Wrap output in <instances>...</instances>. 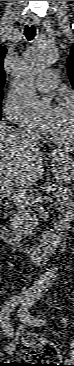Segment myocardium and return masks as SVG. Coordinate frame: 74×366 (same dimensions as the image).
Wrapping results in <instances>:
<instances>
[{"label": "myocardium", "instance_id": "1", "mask_svg": "<svg viewBox=\"0 0 74 366\" xmlns=\"http://www.w3.org/2000/svg\"><path fill=\"white\" fill-rule=\"evenodd\" d=\"M63 104L69 106L72 113L73 133L70 137H60L55 133H50L52 140L61 143L63 145H74V101L70 98L63 100Z\"/></svg>", "mask_w": 74, "mask_h": 366}]
</instances>
